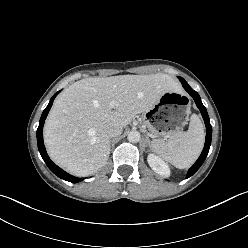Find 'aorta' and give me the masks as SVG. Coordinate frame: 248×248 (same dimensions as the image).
Wrapping results in <instances>:
<instances>
[{
  "label": "aorta",
  "instance_id": "762f6f07",
  "mask_svg": "<svg viewBox=\"0 0 248 248\" xmlns=\"http://www.w3.org/2000/svg\"><path fill=\"white\" fill-rule=\"evenodd\" d=\"M140 133L138 131H130L128 133L127 139L129 140V142L132 143H137L140 141Z\"/></svg>",
  "mask_w": 248,
  "mask_h": 248
}]
</instances>
